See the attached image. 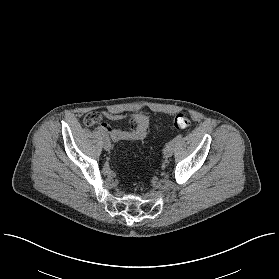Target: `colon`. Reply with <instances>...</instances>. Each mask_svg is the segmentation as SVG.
Here are the masks:
<instances>
[{
    "mask_svg": "<svg viewBox=\"0 0 279 279\" xmlns=\"http://www.w3.org/2000/svg\"><path fill=\"white\" fill-rule=\"evenodd\" d=\"M173 125L177 129H185L190 125V119L185 114H178L173 119Z\"/></svg>",
    "mask_w": 279,
    "mask_h": 279,
    "instance_id": "1",
    "label": "colon"
}]
</instances>
